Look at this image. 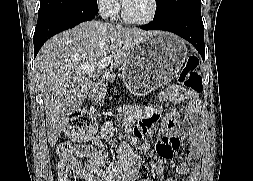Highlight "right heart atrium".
<instances>
[{"label":"right heart atrium","instance_id":"1","mask_svg":"<svg viewBox=\"0 0 253 181\" xmlns=\"http://www.w3.org/2000/svg\"><path fill=\"white\" fill-rule=\"evenodd\" d=\"M95 3L98 12L105 19H114L119 12L117 0H95Z\"/></svg>","mask_w":253,"mask_h":181}]
</instances>
